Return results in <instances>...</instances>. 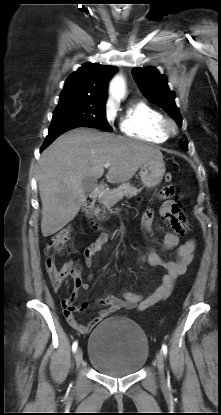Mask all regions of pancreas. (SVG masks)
Masks as SVG:
<instances>
[{"instance_id":"pancreas-1","label":"pancreas","mask_w":221,"mask_h":415,"mask_svg":"<svg viewBox=\"0 0 221 415\" xmlns=\"http://www.w3.org/2000/svg\"><path fill=\"white\" fill-rule=\"evenodd\" d=\"M141 190L135 188L132 186L129 182L121 184L118 188H114L113 190L105 191L100 196V204L103 205V216L102 219L105 218L104 214L106 213L105 208L110 209L112 206H114L118 201H120L124 196L131 198L133 196H136ZM101 212V209L97 207L94 210V214L100 219L99 213Z\"/></svg>"}]
</instances>
